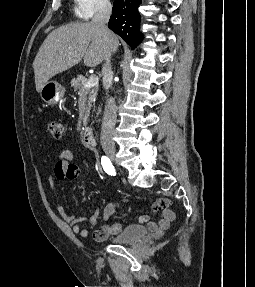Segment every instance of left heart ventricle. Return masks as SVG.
<instances>
[{"instance_id":"obj_1","label":"left heart ventricle","mask_w":255,"mask_h":287,"mask_svg":"<svg viewBox=\"0 0 255 287\" xmlns=\"http://www.w3.org/2000/svg\"><path fill=\"white\" fill-rule=\"evenodd\" d=\"M93 33H100V32H93ZM90 39H101V38H90ZM88 48H99V47H88Z\"/></svg>"}]
</instances>
